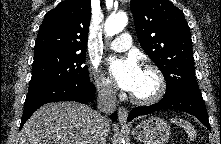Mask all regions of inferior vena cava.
Returning <instances> with one entry per match:
<instances>
[{
  "label": "inferior vena cava",
  "instance_id": "602c4592",
  "mask_svg": "<svg viewBox=\"0 0 221 144\" xmlns=\"http://www.w3.org/2000/svg\"><path fill=\"white\" fill-rule=\"evenodd\" d=\"M97 92V107L99 113H97L95 119L92 144H106L107 134L104 130V125L108 122V115L116 110V89L114 85L105 83L97 86Z\"/></svg>",
  "mask_w": 221,
  "mask_h": 144
}]
</instances>
